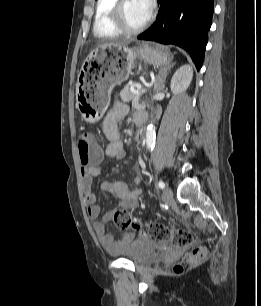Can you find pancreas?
Segmentation results:
<instances>
[{
  "instance_id": "cf45deb5",
  "label": "pancreas",
  "mask_w": 261,
  "mask_h": 306,
  "mask_svg": "<svg viewBox=\"0 0 261 306\" xmlns=\"http://www.w3.org/2000/svg\"><path fill=\"white\" fill-rule=\"evenodd\" d=\"M139 83H134L133 85L129 86L126 85L122 91L120 92V98L124 103L130 102L133 100L135 97H137V94L131 90V88H137ZM142 92L140 91L139 96H141Z\"/></svg>"
}]
</instances>
